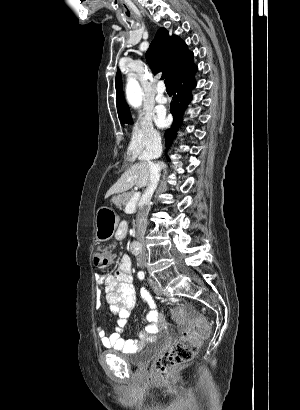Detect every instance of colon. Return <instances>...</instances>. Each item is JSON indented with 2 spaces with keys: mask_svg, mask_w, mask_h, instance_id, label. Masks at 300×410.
Returning a JSON list of instances; mask_svg holds the SVG:
<instances>
[{
  "mask_svg": "<svg viewBox=\"0 0 300 410\" xmlns=\"http://www.w3.org/2000/svg\"><path fill=\"white\" fill-rule=\"evenodd\" d=\"M114 255L110 248L101 250L94 255V265L98 269H106L113 263ZM172 314L174 323L182 325L185 330L183 336L177 339L155 361L156 372L163 378L170 375L178 367L190 362L199 347L210 334V326L207 321L198 315L191 307H174Z\"/></svg>",
  "mask_w": 300,
  "mask_h": 410,
  "instance_id": "5ec220e1",
  "label": "colon"
}]
</instances>
